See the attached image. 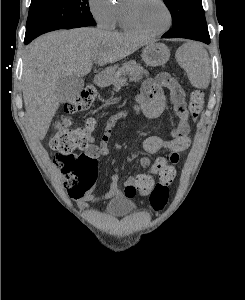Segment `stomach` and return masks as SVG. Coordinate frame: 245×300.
Returning a JSON list of instances; mask_svg holds the SVG:
<instances>
[{
  "mask_svg": "<svg viewBox=\"0 0 245 300\" xmlns=\"http://www.w3.org/2000/svg\"><path fill=\"white\" fill-rule=\"evenodd\" d=\"M170 58V50L162 43L148 44L142 52V60L147 66L157 67L164 65ZM108 77L113 79L115 68L107 71Z\"/></svg>",
  "mask_w": 245,
  "mask_h": 300,
  "instance_id": "stomach-1",
  "label": "stomach"
}]
</instances>
